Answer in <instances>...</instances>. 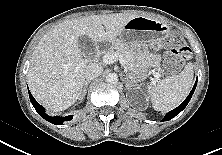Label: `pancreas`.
<instances>
[{
    "instance_id": "obj_1",
    "label": "pancreas",
    "mask_w": 222,
    "mask_h": 155,
    "mask_svg": "<svg viewBox=\"0 0 222 155\" xmlns=\"http://www.w3.org/2000/svg\"><path fill=\"white\" fill-rule=\"evenodd\" d=\"M135 49H136L135 47L125 45L121 42H116L108 50L107 53L121 55L125 60V64L127 65V68L129 69V68H132L136 64V56L134 53ZM153 66L155 67V69H159L158 62H155L154 60H153Z\"/></svg>"
}]
</instances>
